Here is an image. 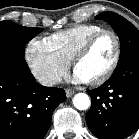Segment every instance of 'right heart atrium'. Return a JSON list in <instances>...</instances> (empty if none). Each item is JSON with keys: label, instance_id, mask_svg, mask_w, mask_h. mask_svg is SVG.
Returning <instances> with one entry per match:
<instances>
[{"label": "right heart atrium", "instance_id": "obj_1", "mask_svg": "<svg viewBox=\"0 0 139 139\" xmlns=\"http://www.w3.org/2000/svg\"><path fill=\"white\" fill-rule=\"evenodd\" d=\"M25 59L34 77L45 86H52L58 82L70 64L45 38H34L28 43Z\"/></svg>", "mask_w": 139, "mask_h": 139}]
</instances>
